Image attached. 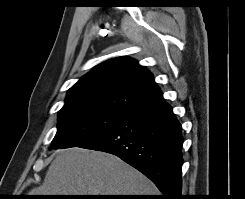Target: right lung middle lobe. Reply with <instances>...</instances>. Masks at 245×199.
Instances as JSON below:
<instances>
[{"label":"right lung middle lobe","instance_id":"dd1d6c3e","mask_svg":"<svg viewBox=\"0 0 245 199\" xmlns=\"http://www.w3.org/2000/svg\"><path fill=\"white\" fill-rule=\"evenodd\" d=\"M128 114L94 105L63 108L59 111L53 149L81 146L104 134Z\"/></svg>","mask_w":245,"mask_h":199}]
</instances>
